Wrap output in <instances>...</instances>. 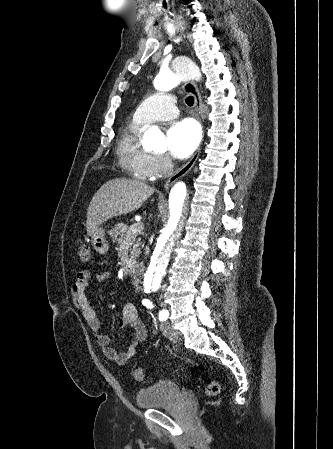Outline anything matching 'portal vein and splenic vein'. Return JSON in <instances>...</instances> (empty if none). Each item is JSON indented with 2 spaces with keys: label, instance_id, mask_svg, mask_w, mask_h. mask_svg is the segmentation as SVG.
Listing matches in <instances>:
<instances>
[{
  "label": "portal vein and splenic vein",
  "instance_id": "18ae733b",
  "mask_svg": "<svg viewBox=\"0 0 333 449\" xmlns=\"http://www.w3.org/2000/svg\"><path fill=\"white\" fill-rule=\"evenodd\" d=\"M140 229H143V225L134 224L130 227V230L134 233L139 231Z\"/></svg>",
  "mask_w": 333,
  "mask_h": 449
}]
</instances>
